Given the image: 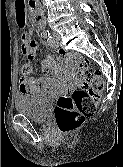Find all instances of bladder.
I'll list each match as a JSON object with an SVG mask.
<instances>
[{
	"label": "bladder",
	"instance_id": "1",
	"mask_svg": "<svg viewBox=\"0 0 123 167\" xmlns=\"http://www.w3.org/2000/svg\"><path fill=\"white\" fill-rule=\"evenodd\" d=\"M16 111L37 123H45L52 108V99L47 96L18 95Z\"/></svg>",
	"mask_w": 123,
	"mask_h": 167
}]
</instances>
